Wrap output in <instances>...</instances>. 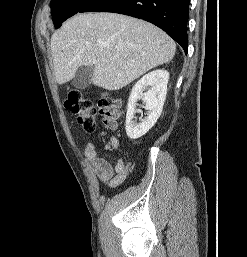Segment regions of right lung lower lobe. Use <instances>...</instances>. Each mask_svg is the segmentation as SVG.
<instances>
[{"label": "right lung lower lobe", "mask_w": 247, "mask_h": 257, "mask_svg": "<svg viewBox=\"0 0 247 257\" xmlns=\"http://www.w3.org/2000/svg\"><path fill=\"white\" fill-rule=\"evenodd\" d=\"M79 12H113L146 20L164 30L187 54L189 0H91Z\"/></svg>", "instance_id": "right-lung-lower-lobe-1"}]
</instances>
